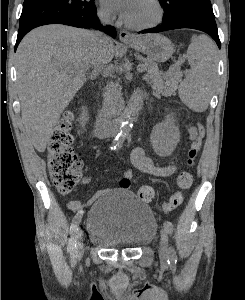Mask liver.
Returning <instances> with one entry per match:
<instances>
[{"label":"liver","mask_w":245,"mask_h":300,"mask_svg":"<svg viewBox=\"0 0 245 300\" xmlns=\"http://www.w3.org/2000/svg\"><path fill=\"white\" fill-rule=\"evenodd\" d=\"M114 53L110 39L100 53L95 33L59 24L38 27L23 38L16 52L19 99L24 127L37 151H45L87 72L100 71Z\"/></svg>","instance_id":"6515ba94"}]
</instances>
